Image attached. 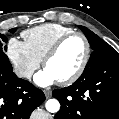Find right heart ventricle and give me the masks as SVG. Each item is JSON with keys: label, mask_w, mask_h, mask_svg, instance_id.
<instances>
[{"label": "right heart ventricle", "mask_w": 119, "mask_h": 119, "mask_svg": "<svg viewBox=\"0 0 119 119\" xmlns=\"http://www.w3.org/2000/svg\"><path fill=\"white\" fill-rule=\"evenodd\" d=\"M70 27L61 24H44L22 33L30 51L42 61L49 49L64 35L73 32Z\"/></svg>", "instance_id": "1"}]
</instances>
